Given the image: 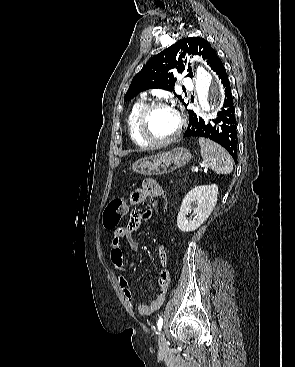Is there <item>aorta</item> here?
Segmentation results:
<instances>
[{"instance_id":"1","label":"aorta","mask_w":295,"mask_h":367,"mask_svg":"<svg viewBox=\"0 0 295 367\" xmlns=\"http://www.w3.org/2000/svg\"><path fill=\"white\" fill-rule=\"evenodd\" d=\"M196 91L203 110L219 108L224 101V89L220 81L205 68L199 66L196 72ZM213 94V98H210Z\"/></svg>"}]
</instances>
